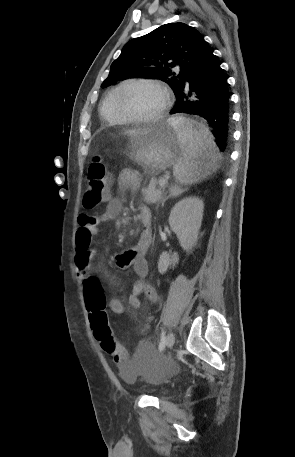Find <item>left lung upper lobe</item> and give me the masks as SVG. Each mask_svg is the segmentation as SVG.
Listing matches in <instances>:
<instances>
[{"label":"left lung upper lobe","instance_id":"obj_1","mask_svg":"<svg viewBox=\"0 0 295 457\" xmlns=\"http://www.w3.org/2000/svg\"><path fill=\"white\" fill-rule=\"evenodd\" d=\"M203 40L198 30L185 23L164 24L129 41L112 63L101 87L128 78L159 79L176 95L183 85V72ZM176 65L181 66L178 74L171 70Z\"/></svg>","mask_w":295,"mask_h":457}]
</instances>
